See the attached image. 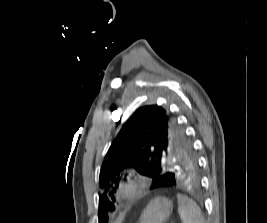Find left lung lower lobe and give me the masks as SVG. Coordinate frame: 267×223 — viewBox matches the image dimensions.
Segmentation results:
<instances>
[{"label": "left lung lower lobe", "instance_id": "1", "mask_svg": "<svg viewBox=\"0 0 267 223\" xmlns=\"http://www.w3.org/2000/svg\"><path fill=\"white\" fill-rule=\"evenodd\" d=\"M201 171H168L167 173H154L158 178L151 185V192H164V194H183L185 189H197Z\"/></svg>", "mask_w": 267, "mask_h": 223}]
</instances>
